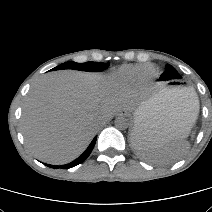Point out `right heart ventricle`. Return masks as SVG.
Returning a JSON list of instances; mask_svg holds the SVG:
<instances>
[{
	"instance_id": "1",
	"label": "right heart ventricle",
	"mask_w": 212,
	"mask_h": 212,
	"mask_svg": "<svg viewBox=\"0 0 212 212\" xmlns=\"http://www.w3.org/2000/svg\"><path fill=\"white\" fill-rule=\"evenodd\" d=\"M155 72L152 65H132L121 68L118 71V76L125 81H135L143 77L153 76Z\"/></svg>"
}]
</instances>
